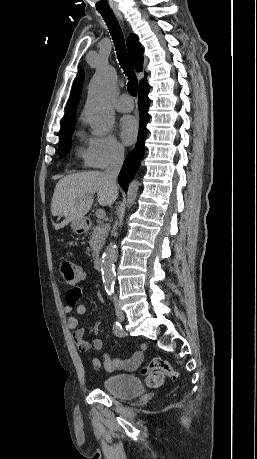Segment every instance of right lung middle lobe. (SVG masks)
<instances>
[{"instance_id":"obj_1","label":"right lung middle lobe","mask_w":257,"mask_h":459,"mask_svg":"<svg viewBox=\"0 0 257 459\" xmlns=\"http://www.w3.org/2000/svg\"><path fill=\"white\" fill-rule=\"evenodd\" d=\"M73 131L74 127L60 132V141L58 145V154L60 157H63L70 150L72 145V139L70 136L73 134Z\"/></svg>"}]
</instances>
